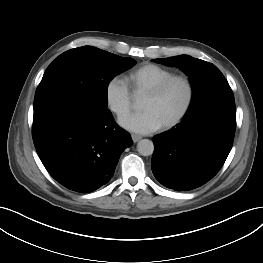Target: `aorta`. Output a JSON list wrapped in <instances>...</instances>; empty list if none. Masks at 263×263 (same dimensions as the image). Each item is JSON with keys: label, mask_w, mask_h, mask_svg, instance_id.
<instances>
[{"label": "aorta", "mask_w": 263, "mask_h": 263, "mask_svg": "<svg viewBox=\"0 0 263 263\" xmlns=\"http://www.w3.org/2000/svg\"><path fill=\"white\" fill-rule=\"evenodd\" d=\"M137 151L142 156H150L154 152V144L149 139H142L137 144Z\"/></svg>", "instance_id": "aorta-1"}]
</instances>
